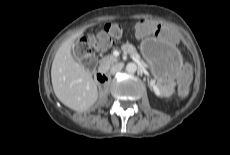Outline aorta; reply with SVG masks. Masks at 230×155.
<instances>
[{
    "instance_id": "762f6f07",
    "label": "aorta",
    "mask_w": 230,
    "mask_h": 155,
    "mask_svg": "<svg viewBox=\"0 0 230 155\" xmlns=\"http://www.w3.org/2000/svg\"><path fill=\"white\" fill-rule=\"evenodd\" d=\"M136 70H137V65L135 63L131 62L126 65V71L128 73H135Z\"/></svg>"
}]
</instances>
